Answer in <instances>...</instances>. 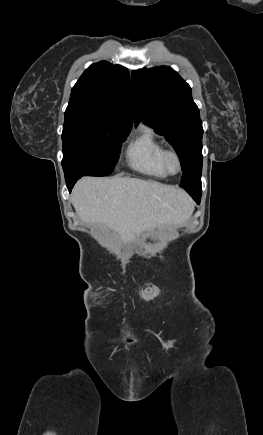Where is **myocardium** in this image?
<instances>
[{
	"label": "myocardium",
	"mask_w": 263,
	"mask_h": 435,
	"mask_svg": "<svg viewBox=\"0 0 263 435\" xmlns=\"http://www.w3.org/2000/svg\"><path fill=\"white\" fill-rule=\"evenodd\" d=\"M173 157L177 162V169L173 171L169 166V159ZM162 165L168 175L179 174L183 167V162L180 153L174 148L164 149L162 154Z\"/></svg>",
	"instance_id": "1"
}]
</instances>
